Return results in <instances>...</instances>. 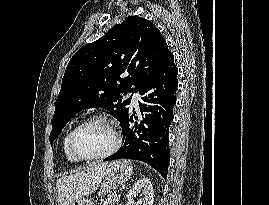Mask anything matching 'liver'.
I'll return each mask as SVG.
<instances>
[{
    "instance_id": "6515ba94",
    "label": "liver",
    "mask_w": 269,
    "mask_h": 205,
    "mask_svg": "<svg viewBox=\"0 0 269 205\" xmlns=\"http://www.w3.org/2000/svg\"><path fill=\"white\" fill-rule=\"evenodd\" d=\"M108 163L90 164L83 171L57 180L56 188L61 205H70L74 200L87 196L101 183Z\"/></svg>"
}]
</instances>
